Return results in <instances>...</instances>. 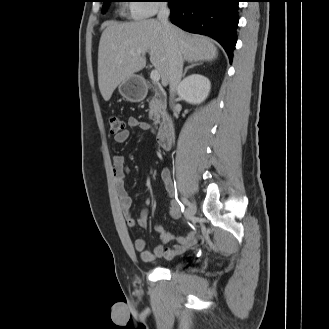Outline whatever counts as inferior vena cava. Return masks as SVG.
Masks as SVG:
<instances>
[{"label": "inferior vena cava", "instance_id": "inferior-vena-cava-1", "mask_svg": "<svg viewBox=\"0 0 329 329\" xmlns=\"http://www.w3.org/2000/svg\"><path fill=\"white\" fill-rule=\"evenodd\" d=\"M169 14H170V10L168 5L166 3L161 4L159 7L157 19L163 25L172 48V56L170 60V70H169V88H170L171 106L173 107L175 92L178 90L179 84L181 83L183 58L177 47L176 31L168 21Z\"/></svg>", "mask_w": 329, "mask_h": 329}]
</instances>
